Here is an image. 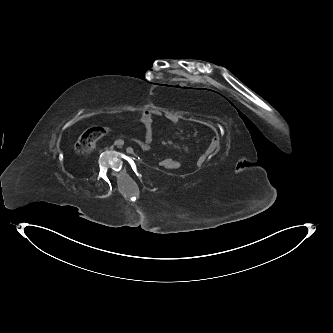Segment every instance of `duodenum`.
Returning <instances> with one entry per match:
<instances>
[{
	"label": "duodenum",
	"instance_id": "410a0bca",
	"mask_svg": "<svg viewBox=\"0 0 333 333\" xmlns=\"http://www.w3.org/2000/svg\"><path fill=\"white\" fill-rule=\"evenodd\" d=\"M136 143L140 146V148L143 151H148L150 149V146L148 144H146L145 142L137 140Z\"/></svg>",
	"mask_w": 333,
	"mask_h": 333
}]
</instances>
